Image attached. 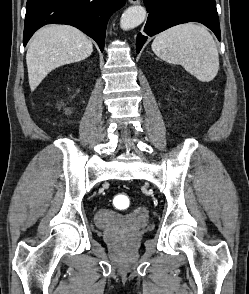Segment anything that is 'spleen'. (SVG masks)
Listing matches in <instances>:
<instances>
[{
    "label": "spleen",
    "mask_w": 249,
    "mask_h": 294,
    "mask_svg": "<svg viewBox=\"0 0 249 294\" xmlns=\"http://www.w3.org/2000/svg\"><path fill=\"white\" fill-rule=\"evenodd\" d=\"M153 52L162 60L179 64L202 82L215 78L219 70L216 43L209 31L195 23L171 27L158 34Z\"/></svg>",
    "instance_id": "obj_1"
}]
</instances>
